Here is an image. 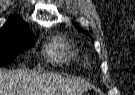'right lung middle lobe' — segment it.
I'll list each match as a JSON object with an SVG mask.
<instances>
[{
	"mask_svg": "<svg viewBox=\"0 0 135 95\" xmlns=\"http://www.w3.org/2000/svg\"><path fill=\"white\" fill-rule=\"evenodd\" d=\"M34 45V38L28 32L0 36V66L8 64L23 50Z\"/></svg>",
	"mask_w": 135,
	"mask_h": 95,
	"instance_id": "right-lung-middle-lobe-1",
	"label": "right lung middle lobe"
}]
</instances>
